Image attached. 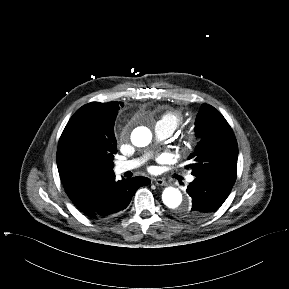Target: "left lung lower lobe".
Wrapping results in <instances>:
<instances>
[{
    "mask_svg": "<svg viewBox=\"0 0 289 289\" xmlns=\"http://www.w3.org/2000/svg\"><path fill=\"white\" fill-rule=\"evenodd\" d=\"M233 184L211 177H196L187 187L192 198L186 217L200 219L220 207L229 195Z\"/></svg>",
    "mask_w": 289,
    "mask_h": 289,
    "instance_id": "0a47b994",
    "label": "left lung lower lobe"
}]
</instances>
